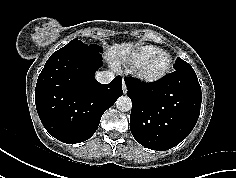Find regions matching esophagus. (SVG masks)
Masks as SVG:
<instances>
[{"label":"esophagus","mask_w":236,"mask_h":178,"mask_svg":"<svg viewBox=\"0 0 236 178\" xmlns=\"http://www.w3.org/2000/svg\"><path fill=\"white\" fill-rule=\"evenodd\" d=\"M122 90H123V93L126 94L127 93V87H126V84L124 81H122Z\"/></svg>","instance_id":"1"}]
</instances>
